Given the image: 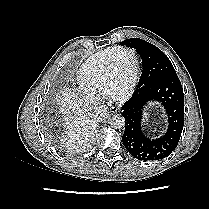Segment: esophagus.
Here are the masks:
<instances>
[{"instance_id": "34e87169", "label": "esophagus", "mask_w": 209, "mask_h": 209, "mask_svg": "<svg viewBox=\"0 0 209 209\" xmlns=\"http://www.w3.org/2000/svg\"><path fill=\"white\" fill-rule=\"evenodd\" d=\"M110 110H111L112 113H117L118 112V107L112 106Z\"/></svg>"}]
</instances>
